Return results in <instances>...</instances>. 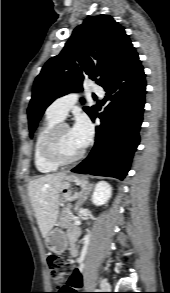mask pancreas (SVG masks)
Returning a JSON list of instances; mask_svg holds the SVG:
<instances>
[{
	"mask_svg": "<svg viewBox=\"0 0 170 293\" xmlns=\"http://www.w3.org/2000/svg\"><path fill=\"white\" fill-rule=\"evenodd\" d=\"M75 220H77V217L72 212L71 206H67V207L63 208V210L59 216L58 225L63 229L77 228L74 224H72V222Z\"/></svg>",
	"mask_w": 170,
	"mask_h": 293,
	"instance_id": "1",
	"label": "pancreas"
}]
</instances>
